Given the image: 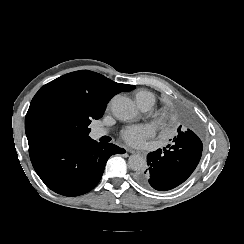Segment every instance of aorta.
<instances>
[{
    "instance_id": "1",
    "label": "aorta",
    "mask_w": 244,
    "mask_h": 244,
    "mask_svg": "<svg viewBox=\"0 0 244 244\" xmlns=\"http://www.w3.org/2000/svg\"><path fill=\"white\" fill-rule=\"evenodd\" d=\"M112 113L121 121L133 120L138 115L133 101L124 96H119L113 100ZM128 165L134 171H143L147 167V162L144 156L133 154L128 159Z\"/></svg>"
}]
</instances>
